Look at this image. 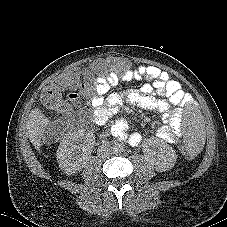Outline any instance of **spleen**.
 I'll return each mask as SVG.
<instances>
[{
	"instance_id": "1",
	"label": "spleen",
	"mask_w": 227,
	"mask_h": 227,
	"mask_svg": "<svg viewBox=\"0 0 227 227\" xmlns=\"http://www.w3.org/2000/svg\"><path fill=\"white\" fill-rule=\"evenodd\" d=\"M185 145L192 152H199L206 145V129L203 110L196 103H189L182 110Z\"/></svg>"
}]
</instances>
